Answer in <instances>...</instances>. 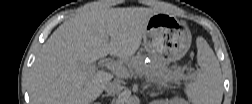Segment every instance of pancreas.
<instances>
[{
  "label": "pancreas",
  "instance_id": "obj_1",
  "mask_svg": "<svg viewBox=\"0 0 252 104\" xmlns=\"http://www.w3.org/2000/svg\"><path fill=\"white\" fill-rule=\"evenodd\" d=\"M156 65L154 62L146 64L141 60V62L129 65L127 71L131 74L144 75L149 81L164 87H169L170 83H179L180 80L189 78L180 69L171 70L164 64H160L159 68H156Z\"/></svg>",
  "mask_w": 252,
  "mask_h": 104
}]
</instances>
